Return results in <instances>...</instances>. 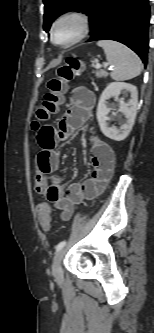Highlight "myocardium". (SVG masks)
<instances>
[{
	"label": "myocardium",
	"instance_id": "myocardium-1",
	"mask_svg": "<svg viewBox=\"0 0 154 333\" xmlns=\"http://www.w3.org/2000/svg\"><path fill=\"white\" fill-rule=\"evenodd\" d=\"M71 21L76 24V31L71 39L65 42H60L56 38V32H57V27L63 23ZM90 19L89 16L80 10H71L64 12L57 16L55 20L52 22L51 29H50V38L53 44L63 47V48H68L71 47L80 41H82L89 33L90 31Z\"/></svg>",
	"mask_w": 154,
	"mask_h": 333
}]
</instances>
